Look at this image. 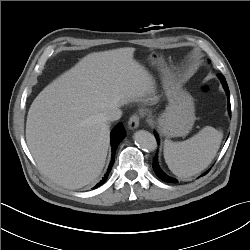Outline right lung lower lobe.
Listing matches in <instances>:
<instances>
[{
  "label": "right lung lower lobe",
  "mask_w": 250,
  "mask_h": 250,
  "mask_svg": "<svg viewBox=\"0 0 250 250\" xmlns=\"http://www.w3.org/2000/svg\"><path fill=\"white\" fill-rule=\"evenodd\" d=\"M125 133H126V131H125L122 123L117 124L114 127V129L112 130V132H111L112 160H111V163L108 167L106 174L104 175L102 180L94 187V189L101 186L106 181V179L109 175V172L111 171L112 166L114 164L115 151H116L117 146L119 145L120 141L125 137Z\"/></svg>",
  "instance_id": "98d812e1"
}]
</instances>
